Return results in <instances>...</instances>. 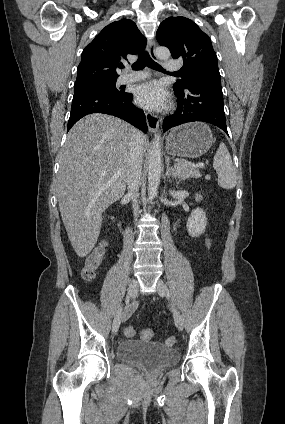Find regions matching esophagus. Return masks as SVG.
<instances>
[{
  "label": "esophagus",
  "mask_w": 285,
  "mask_h": 424,
  "mask_svg": "<svg viewBox=\"0 0 285 424\" xmlns=\"http://www.w3.org/2000/svg\"><path fill=\"white\" fill-rule=\"evenodd\" d=\"M148 51L151 58L157 60V56L155 53V42L153 40L148 42ZM145 117L149 131L155 132L159 126V117L150 112H146Z\"/></svg>",
  "instance_id": "obj_1"
}]
</instances>
